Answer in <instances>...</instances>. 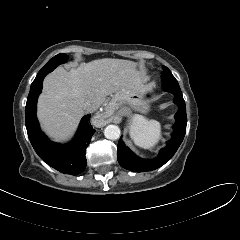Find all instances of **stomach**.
<instances>
[{
    "instance_id": "stomach-1",
    "label": "stomach",
    "mask_w": 240,
    "mask_h": 240,
    "mask_svg": "<svg viewBox=\"0 0 240 240\" xmlns=\"http://www.w3.org/2000/svg\"><path fill=\"white\" fill-rule=\"evenodd\" d=\"M144 89H123L112 96L110 107L120 109L126 105L136 108L142 113H147L149 110L148 102L143 97Z\"/></svg>"
}]
</instances>
